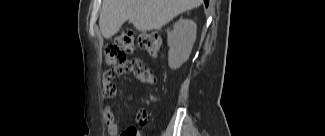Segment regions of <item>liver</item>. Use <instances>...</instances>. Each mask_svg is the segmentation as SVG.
<instances>
[{"label":"liver","mask_w":325,"mask_h":136,"mask_svg":"<svg viewBox=\"0 0 325 136\" xmlns=\"http://www.w3.org/2000/svg\"><path fill=\"white\" fill-rule=\"evenodd\" d=\"M203 0H103L99 26L104 38L115 35L129 21L141 32L159 30L184 11Z\"/></svg>","instance_id":"liver-1"}]
</instances>
